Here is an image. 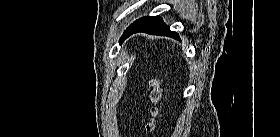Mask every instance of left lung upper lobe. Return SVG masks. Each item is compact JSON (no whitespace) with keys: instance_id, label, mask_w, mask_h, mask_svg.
<instances>
[{"instance_id":"1","label":"left lung upper lobe","mask_w":280,"mask_h":137,"mask_svg":"<svg viewBox=\"0 0 280 137\" xmlns=\"http://www.w3.org/2000/svg\"><path fill=\"white\" fill-rule=\"evenodd\" d=\"M142 18H143V17H142ZM142 18L136 20L133 24H131V25L126 29V31H127L131 26H133V25L136 24L138 21H140ZM126 31H125L124 34L122 35V37H121V39H120V42H121L122 38L124 37Z\"/></svg>"}]
</instances>
